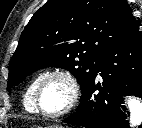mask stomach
<instances>
[{
    "label": "stomach",
    "instance_id": "1",
    "mask_svg": "<svg viewBox=\"0 0 142 128\" xmlns=\"http://www.w3.org/2000/svg\"><path fill=\"white\" fill-rule=\"evenodd\" d=\"M36 128H40V127H36ZM47 128H62L61 126H58V125H53V126H49Z\"/></svg>",
    "mask_w": 142,
    "mask_h": 128
}]
</instances>
